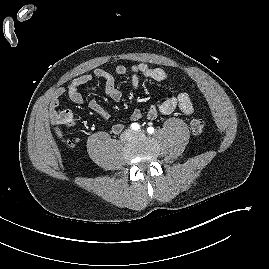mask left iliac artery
I'll return each mask as SVG.
<instances>
[{
	"mask_svg": "<svg viewBox=\"0 0 269 269\" xmlns=\"http://www.w3.org/2000/svg\"><path fill=\"white\" fill-rule=\"evenodd\" d=\"M147 132H148L149 134L154 133V128H153V127H148V128H147Z\"/></svg>",
	"mask_w": 269,
	"mask_h": 269,
	"instance_id": "1",
	"label": "left iliac artery"
}]
</instances>
